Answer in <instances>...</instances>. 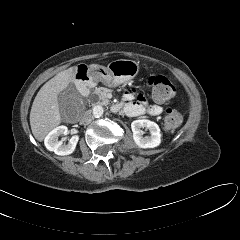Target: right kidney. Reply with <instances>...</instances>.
<instances>
[{
    "label": "right kidney",
    "instance_id": "ca27d5eb",
    "mask_svg": "<svg viewBox=\"0 0 240 240\" xmlns=\"http://www.w3.org/2000/svg\"><path fill=\"white\" fill-rule=\"evenodd\" d=\"M68 128L66 126H58L53 129L44 140L45 147L49 151H53L57 155H69L73 153L76 148L79 137L77 135L73 136L68 144H63L62 141L58 139L59 136L66 134Z\"/></svg>",
    "mask_w": 240,
    "mask_h": 240
}]
</instances>
